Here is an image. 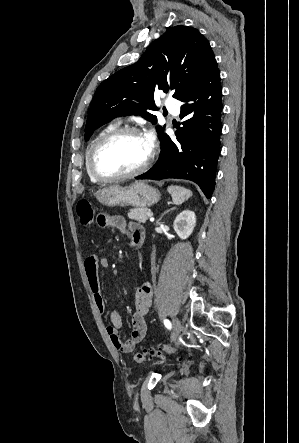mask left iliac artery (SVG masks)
Here are the masks:
<instances>
[{"label": "left iliac artery", "mask_w": 299, "mask_h": 443, "mask_svg": "<svg viewBox=\"0 0 299 443\" xmlns=\"http://www.w3.org/2000/svg\"><path fill=\"white\" fill-rule=\"evenodd\" d=\"M164 325L168 328L171 329V322L168 319L164 320Z\"/></svg>", "instance_id": "44dca946"}]
</instances>
